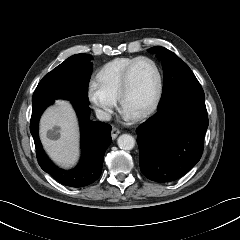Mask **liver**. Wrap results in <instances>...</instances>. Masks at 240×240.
<instances>
[{
    "mask_svg": "<svg viewBox=\"0 0 240 240\" xmlns=\"http://www.w3.org/2000/svg\"><path fill=\"white\" fill-rule=\"evenodd\" d=\"M59 127V138L48 137V131ZM40 135L45 150L59 165L69 167L75 163L79 153L78 126L71 105L64 100L56 101L41 118Z\"/></svg>",
    "mask_w": 240,
    "mask_h": 240,
    "instance_id": "6515ba94",
    "label": "liver"
}]
</instances>
